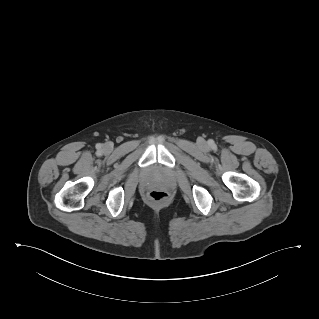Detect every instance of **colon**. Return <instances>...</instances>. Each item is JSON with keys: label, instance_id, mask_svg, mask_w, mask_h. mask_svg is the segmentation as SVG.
<instances>
[{"label": "colon", "instance_id": "colon-1", "mask_svg": "<svg viewBox=\"0 0 319 319\" xmlns=\"http://www.w3.org/2000/svg\"><path fill=\"white\" fill-rule=\"evenodd\" d=\"M148 196L154 202H162L167 199L168 194L163 190L155 189L152 190Z\"/></svg>", "mask_w": 319, "mask_h": 319}]
</instances>
